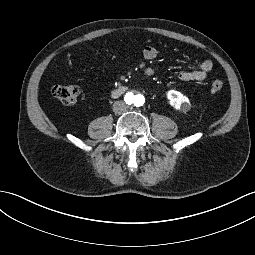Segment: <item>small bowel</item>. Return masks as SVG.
<instances>
[{
	"label": "small bowel",
	"instance_id": "c3829d8e",
	"mask_svg": "<svg viewBox=\"0 0 255 255\" xmlns=\"http://www.w3.org/2000/svg\"><path fill=\"white\" fill-rule=\"evenodd\" d=\"M160 54L158 48L153 45H147L143 49V56L146 60H154ZM213 65L210 60H202L197 64L196 69L183 71L179 74V78L182 81H202L207 77V74L211 71ZM158 70L156 66H150L144 69L142 73V79L147 80L151 78Z\"/></svg>",
	"mask_w": 255,
	"mask_h": 255
}]
</instances>
